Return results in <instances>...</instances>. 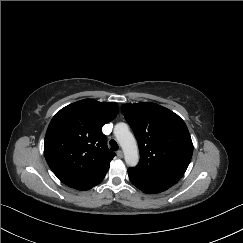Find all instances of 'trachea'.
<instances>
[{
    "instance_id": "obj_1",
    "label": "trachea",
    "mask_w": 243,
    "mask_h": 243,
    "mask_svg": "<svg viewBox=\"0 0 243 243\" xmlns=\"http://www.w3.org/2000/svg\"><path fill=\"white\" fill-rule=\"evenodd\" d=\"M110 148L113 151H117L118 150L119 147H118V144H117V142L115 140H111L110 141Z\"/></svg>"
}]
</instances>
